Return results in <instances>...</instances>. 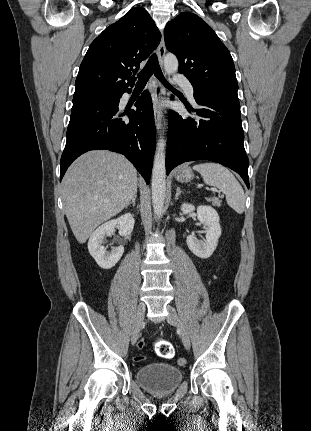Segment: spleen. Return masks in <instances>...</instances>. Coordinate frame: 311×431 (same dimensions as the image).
Here are the masks:
<instances>
[{
	"instance_id": "3e777b00",
	"label": "spleen",
	"mask_w": 311,
	"mask_h": 431,
	"mask_svg": "<svg viewBox=\"0 0 311 431\" xmlns=\"http://www.w3.org/2000/svg\"><path fill=\"white\" fill-rule=\"evenodd\" d=\"M193 170L201 174L204 184L219 188L222 194H225L226 202L230 208H233L237 214H243L245 210L243 188L227 168L220 166V164L207 162V164L193 166Z\"/></svg>"
}]
</instances>
